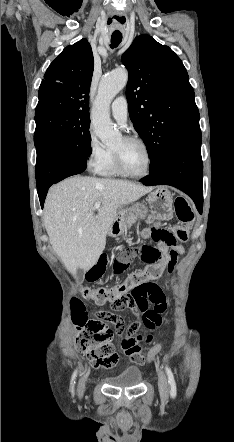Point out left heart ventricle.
<instances>
[{
  "label": "left heart ventricle",
  "mask_w": 234,
  "mask_h": 442,
  "mask_svg": "<svg viewBox=\"0 0 234 442\" xmlns=\"http://www.w3.org/2000/svg\"><path fill=\"white\" fill-rule=\"evenodd\" d=\"M113 150L121 155L125 169L131 173H141L146 168L147 158L142 146L137 143H130L120 139Z\"/></svg>",
  "instance_id": "b2bd125f"
}]
</instances>
